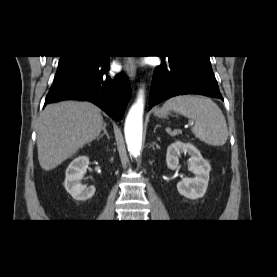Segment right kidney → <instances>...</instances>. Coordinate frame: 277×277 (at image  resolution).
I'll list each match as a JSON object with an SVG mask.
<instances>
[{
    "instance_id": "right-kidney-1",
    "label": "right kidney",
    "mask_w": 277,
    "mask_h": 277,
    "mask_svg": "<svg viewBox=\"0 0 277 277\" xmlns=\"http://www.w3.org/2000/svg\"><path fill=\"white\" fill-rule=\"evenodd\" d=\"M88 165L89 158L87 156H79L69 164L65 172L66 178L64 181V187L77 201L90 199L96 190L94 186L87 187L80 183Z\"/></svg>"
}]
</instances>
